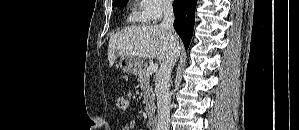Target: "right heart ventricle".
Masks as SVG:
<instances>
[{"mask_svg": "<svg viewBox=\"0 0 299 130\" xmlns=\"http://www.w3.org/2000/svg\"><path fill=\"white\" fill-rule=\"evenodd\" d=\"M130 19L133 20V21H142V20H144L142 6L140 7L139 10H137L136 8L133 9V11L130 15Z\"/></svg>", "mask_w": 299, "mask_h": 130, "instance_id": "obj_1", "label": "right heart ventricle"}]
</instances>
